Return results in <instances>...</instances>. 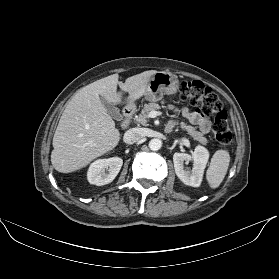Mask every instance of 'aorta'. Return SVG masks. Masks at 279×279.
<instances>
[{
	"instance_id": "aorta-1",
	"label": "aorta",
	"mask_w": 279,
	"mask_h": 279,
	"mask_svg": "<svg viewBox=\"0 0 279 279\" xmlns=\"http://www.w3.org/2000/svg\"><path fill=\"white\" fill-rule=\"evenodd\" d=\"M162 147V141L158 138L151 139L149 141V148L152 151H158Z\"/></svg>"
}]
</instances>
